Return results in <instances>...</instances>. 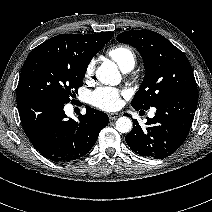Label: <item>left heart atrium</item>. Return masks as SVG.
<instances>
[{
    "mask_svg": "<svg viewBox=\"0 0 212 212\" xmlns=\"http://www.w3.org/2000/svg\"><path fill=\"white\" fill-rule=\"evenodd\" d=\"M126 95L125 91H120L111 87H100L94 90L89 97L90 103L102 110L112 111L121 104V96Z\"/></svg>",
    "mask_w": 212,
    "mask_h": 212,
    "instance_id": "left-heart-atrium-1",
    "label": "left heart atrium"
}]
</instances>
